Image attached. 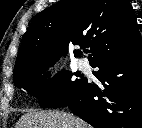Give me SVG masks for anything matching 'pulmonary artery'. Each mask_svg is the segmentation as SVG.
I'll return each instance as SVG.
<instances>
[{"mask_svg": "<svg viewBox=\"0 0 142 128\" xmlns=\"http://www.w3.org/2000/svg\"><path fill=\"white\" fill-rule=\"evenodd\" d=\"M78 66L81 70L87 71L90 69V65L86 59H80L78 61Z\"/></svg>", "mask_w": 142, "mask_h": 128, "instance_id": "obj_1", "label": "pulmonary artery"}]
</instances>
